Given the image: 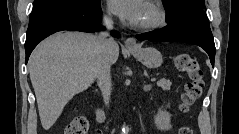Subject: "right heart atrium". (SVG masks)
Masks as SVG:
<instances>
[{"label":"right heart atrium","mask_w":239,"mask_h":134,"mask_svg":"<svg viewBox=\"0 0 239 134\" xmlns=\"http://www.w3.org/2000/svg\"><path fill=\"white\" fill-rule=\"evenodd\" d=\"M107 18L108 19H112L113 18V12L111 11V9H108V11H107Z\"/></svg>","instance_id":"obj_1"}]
</instances>
